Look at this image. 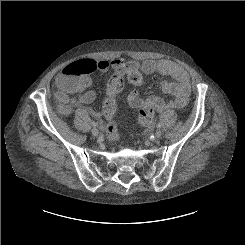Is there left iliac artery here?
Instances as JSON below:
<instances>
[{
  "instance_id": "1",
  "label": "left iliac artery",
  "mask_w": 245,
  "mask_h": 245,
  "mask_svg": "<svg viewBox=\"0 0 245 245\" xmlns=\"http://www.w3.org/2000/svg\"><path fill=\"white\" fill-rule=\"evenodd\" d=\"M160 127H161V124H160V123H158V124H157V128H160Z\"/></svg>"
}]
</instances>
